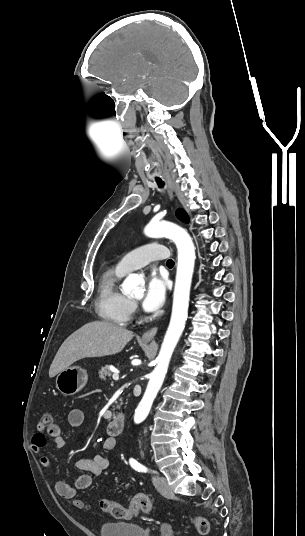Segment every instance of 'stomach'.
<instances>
[{"label": "stomach", "instance_id": "obj_1", "mask_svg": "<svg viewBox=\"0 0 305 536\" xmlns=\"http://www.w3.org/2000/svg\"><path fill=\"white\" fill-rule=\"evenodd\" d=\"M87 380L86 370H82L79 366H74V368H67V370L59 372L56 378V388L64 396H73V394H77L86 386Z\"/></svg>", "mask_w": 305, "mask_h": 536}]
</instances>
